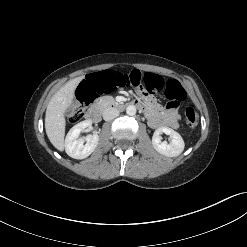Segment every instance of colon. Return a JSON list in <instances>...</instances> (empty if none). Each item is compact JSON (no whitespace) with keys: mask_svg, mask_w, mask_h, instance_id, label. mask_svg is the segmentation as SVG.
I'll use <instances>...</instances> for the list:
<instances>
[{"mask_svg":"<svg viewBox=\"0 0 247 247\" xmlns=\"http://www.w3.org/2000/svg\"><path fill=\"white\" fill-rule=\"evenodd\" d=\"M148 92L164 91L168 99V106L176 107L186 98V93L181 84L176 80L165 81L161 76L155 74H141L138 71L131 73L124 68L112 71H98L88 75L83 80L77 91V102L71 109L70 119L73 122L80 121L89 104L100 94H112L127 90L131 85ZM184 117L190 129L197 127L199 116L196 110L187 106L184 109Z\"/></svg>","mask_w":247,"mask_h":247,"instance_id":"colon-1","label":"colon"}]
</instances>
